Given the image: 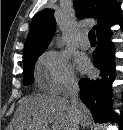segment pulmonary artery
Returning <instances> with one entry per match:
<instances>
[{"instance_id":"1","label":"pulmonary artery","mask_w":123,"mask_h":130,"mask_svg":"<svg viewBox=\"0 0 123 130\" xmlns=\"http://www.w3.org/2000/svg\"><path fill=\"white\" fill-rule=\"evenodd\" d=\"M79 45L83 49H88L90 47V42H89L88 37L85 33L80 36Z\"/></svg>"}]
</instances>
